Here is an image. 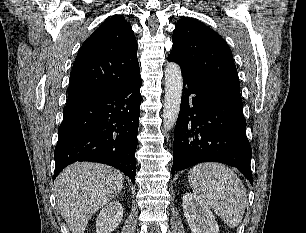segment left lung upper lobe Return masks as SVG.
<instances>
[{"instance_id": "1", "label": "left lung upper lobe", "mask_w": 306, "mask_h": 233, "mask_svg": "<svg viewBox=\"0 0 306 233\" xmlns=\"http://www.w3.org/2000/svg\"><path fill=\"white\" fill-rule=\"evenodd\" d=\"M169 61L182 73L240 89L231 49L214 30L192 18L178 20Z\"/></svg>"}]
</instances>
